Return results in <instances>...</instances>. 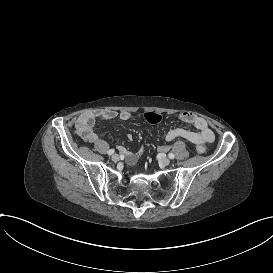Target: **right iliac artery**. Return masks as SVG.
Wrapping results in <instances>:
<instances>
[{
    "mask_svg": "<svg viewBox=\"0 0 273 273\" xmlns=\"http://www.w3.org/2000/svg\"><path fill=\"white\" fill-rule=\"evenodd\" d=\"M114 153V150L113 149H110L109 151H108V154L109 155H112Z\"/></svg>",
    "mask_w": 273,
    "mask_h": 273,
    "instance_id": "obj_1",
    "label": "right iliac artery"
}]
</instances>
